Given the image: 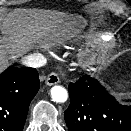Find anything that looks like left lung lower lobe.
<instances>
[{
    "mask_svg": "<svg viewBox=\"0 0 131 131\" xmlns=\"http://www.w3.org/2000/svg\"><path fill=\"white\" fill-rule=\"evenodd\" d=\"M69 131H131V105H121L89 75L69 84Z\"/></svg>",
    "mask_w": 131,
    "mask_h": 131,
    "instance_id": "1",
    "label": "left lung lower lobe"
}]
</instances>
